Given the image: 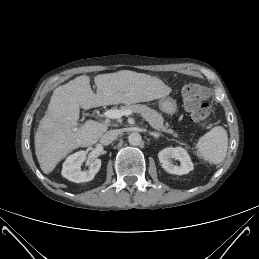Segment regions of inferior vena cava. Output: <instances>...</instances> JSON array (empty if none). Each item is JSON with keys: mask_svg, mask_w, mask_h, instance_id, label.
Segmentation results:
<instances>
[{"mask_svg": "<svg viewBox=\"0 0 259 259\" xmlns=\"http://www.w3.org/2000/svg\"><path fill=\"white\" fill-rule=\"evenodd\" d=\"M118 136L117 130H110L103 134L100 138V143L102 145H109Z\"/></svg>", "mask_w": 259, "mask_h": 259, "instance_id": "obj_1", "label": "inferior vena cava"}]
</instances>
